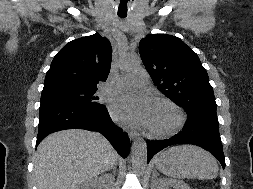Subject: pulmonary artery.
<instances>
[{
  "label": "pulmonary artery",
  "instance_id": "obj_1",
  "mask_svg": "<svg viewBox=\"0 0 253 189\" xmlns=\"http://www.w3.org/2000/svg\"><path fill=\"white\" fill-rule=\"evenodd\" d=\"M137 83L140 86H145L148 83L147 75L143 72H135L121 78L117 84L119 88H123L130 84Z\"/></svg>",
  "mask_w": 253,
  "mask_h": 189
}]
</instances>
